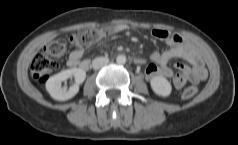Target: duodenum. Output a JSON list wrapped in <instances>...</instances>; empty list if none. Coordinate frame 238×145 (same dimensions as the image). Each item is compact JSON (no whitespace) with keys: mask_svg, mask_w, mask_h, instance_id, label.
Segmentation results:
<instances>
[{"mask_svg":"<svg viewBox=\"0 0 238 145\" xmlns=\"http://www.w3.org/2000/svg\"><path fill=\"white\" fill-rule=\"evenodd\" d=\"M134 63L139 64V59H138V58H135V59H134Z\"/></svg>","mask_w":238,"mask_h":145,"instance_id":"410a0bca","label":"duodenum"}]
</instances>
